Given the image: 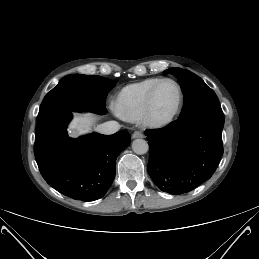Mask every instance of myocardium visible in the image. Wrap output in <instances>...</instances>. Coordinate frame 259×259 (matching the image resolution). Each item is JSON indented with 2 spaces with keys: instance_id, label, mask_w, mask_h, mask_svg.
I'll return each instance as SVG.
<instances>
[{
  "instance_id": "myocardium-1",
  "label": "myocardium",
  "mask_w": 259,
  "mask_h": 259,
  "mask_svg": "<svg viewBox=\"0 0 259 259\" xmlns=\"http://www.w3.org/2000/svg\"><path fill=\"white\" fill-rule=\"evenodd\" d=\"M165 82L172 83L176 87L178 98H177V103L174 110L169 115L165 117H160V116H157L154 112V100H155V94L157 89L161 84ZM182 104H183V91L181 89V86L178 84V82L171 78H162L151 88L147 96L145 108L141 116L142 120L147 126L152 128H161V127L167 126L170 123H172L175 120V118L178 116L182 108Z\"/></svg>"
}]
</instances>
